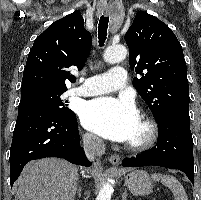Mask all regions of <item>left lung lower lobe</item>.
<instances>
[{"label":"left lung lower lobe","instance_id":"obj_1","mask_svg":"<svg viewBox=\"0 0 201 200\" xmlns=\"http://www.w3.org/2000/svg\"><path fill=\"white\" fill-rule=\"evenodd\" d=\"M158 143L136 157L126 158L124 167L163 166L183 171L194 184L193 139L189 111L172 110L158 121Z\"/></svg>","mask_w":201,"mask_h":200}]
</instances>
